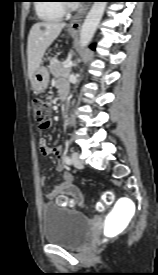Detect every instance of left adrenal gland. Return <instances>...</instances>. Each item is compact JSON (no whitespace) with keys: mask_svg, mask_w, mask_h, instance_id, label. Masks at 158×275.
<instances>
[{"mask_svg":"<svg viewBox=\"0 0 158 275\" xmlns=\"http://www.w3.org/2000/svg\"><path fill=\"white\" fill-rule=\"evenodd\" d=\"M72 66L76 68L77 67V63L74 62Z\"/></svg>","mask_w":158,"mask_h":275,"instance_id":"obj_1","label":"left adrenal gland"}]
</instances>
